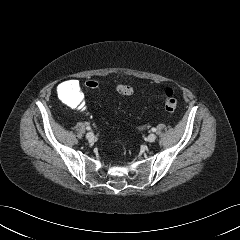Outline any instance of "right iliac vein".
<instances>
[{"label":"right iliac vein","mask_w":240,"mask_h":240,"mask_svg":"<svg viewBox=\"0 0 240 240\" xmlns=\"http://www.w3.org/2000/svg\"><path fill=\"white\" fill-rule=\"evenodd\" d=\"M94 134L92 133V132H88L87 134H86V138L89 140V141H92V140H94Z\"/></svg>","instance_id":"obj_1"}]
</instances>
